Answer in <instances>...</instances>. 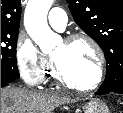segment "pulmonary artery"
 I'll list each match as a JSON object with an SVG mask.
<instances>
[{
    "instance_id": "e3ab8cb5",
    "label": "pulmonary artery",
    "mask_w": 123,
    "mask_h": 113,
    "mask_svg": "<svg viewBox=\"0 0 123 113\" xmlns=\"http://www.w3.org/2000/svg\"><path fill=\"white\" fill-rule=\"evenodd\" d=\"M48 22L54 29L63 31L67 25L66 12L61 8H52L48 14Z\"/></svg>"
}]
</instances>
